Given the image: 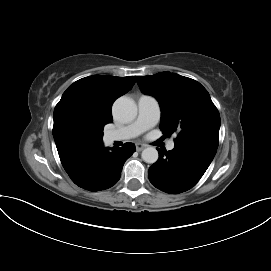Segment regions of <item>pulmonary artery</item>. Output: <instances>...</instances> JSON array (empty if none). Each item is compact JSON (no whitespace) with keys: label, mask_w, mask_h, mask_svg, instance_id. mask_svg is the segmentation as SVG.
Returning <instances> with one entry per match:
<instances>
[{"label":"pulmonary artery","mask_w":271,"mask_h":271,"mask_svg":"<svg viewBox=\"0 0 271 271\" xmlns=\"http://www.w3.org/2000/svg\"><path fill=\"white\" fill-rule=\"evenodd\" d=\"M160 118V106L156 98L150 95H141L138 99V116L134 122L124 127L109 131L106 139L110 142L134 138L153 127ZM175 146L173 140L167 144V149Z\"/></svg>","instance_id":"1"}]
</instances>
